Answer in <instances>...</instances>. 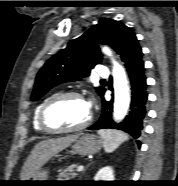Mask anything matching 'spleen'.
Wrapping results in <instances>:
<instances>
[{
    "label": "spleen",
    "instance_id": "obj_1",
    "mask_svg": "<svg viewBox=\"0 0 178 186\" xmlns=\"http://www.w3.org/2000/svg\"><path fill=\"white\" fill-rule=\"evenodd\" d=\"M98 134L103 140L106 153L115 151L123 142L129 139L126 133L111 129H101L98 131Z\"/></svg>",
    "mask_w": 178,
    "mask_h": 186
}]
</instances>
